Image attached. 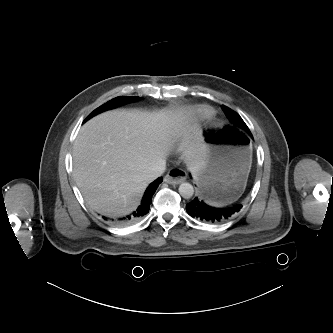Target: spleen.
<instances>
[{"label":"spleen","instance_id":"3e777b00","mask_svg":"<svg viewBox=\"0 0 333 333\" xmlns=\"http://www.w3.org/2000/svg\"><path fill=\"white\" fill-rule=\"evenodd\" d=\"M208 203L211 204V205H216L217 206V204H215L213 202L208 201Z\"/></svg>","mask_w":333,"mask_h":333}]
</instances>
